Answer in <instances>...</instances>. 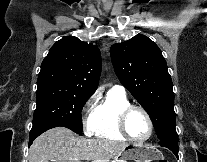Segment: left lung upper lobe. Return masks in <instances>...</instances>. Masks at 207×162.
Listing matches in <instances>:
<instances>
[{
  "label": "left lung upper lobe",
  "mask_w": 207,
  "mask_h": 162,
  "mask_svg": "<svg viewBox=\"0 0 207 162\" xmlns=\"http://www.w3.org/2000/svg\"><path fill=\"white\" fill-rule=\"evenodd\" d=\"M110 53L119 80L147 111L158 138L177 135L173 85L158 46L138 34L112 45Z\"/></svg>",
  "instance_id": "left-lung-upper-lobe-1"
}]
</instances>
